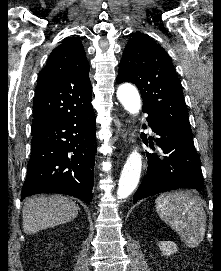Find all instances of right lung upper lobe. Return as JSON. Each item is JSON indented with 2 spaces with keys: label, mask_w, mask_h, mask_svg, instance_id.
Segmentation results:
<instances>
[{
  "label": "right lung upper lobe",
  "mask_w": 221,
  "mask_h": 271,
  "mask_svg": "<svg viewBox=\"0 0 221 271\" xmlns=\"http://www.w3.org/2000/svg\"><path fill=\"white\" fill-rule=\"evenodd\" d=\"M89 63L81 41L68 38L39 73L32 131L92 108Z\"/></svg>",
  "instance_id": "cb5924a9"
}]
</instances>
